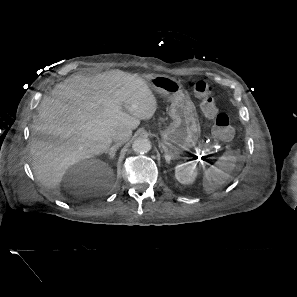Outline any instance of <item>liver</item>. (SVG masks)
I'll list each match as a JSON object with an SVG mask.
<instances>
[{
  "instance_id": "1",
  "label": "liver",
  "mask_w": 297,
  "mask_h": 297,
  "mask_svg": "<svg viewBox=\"0 0 297 297\" xmlns=\"http://www.w3.org/2000/svg\"><path fill=\"white\" fill-rule=\"evenodd\" d=\"M156 108L149 84L134 74L117 69L66 79L39 106L30 142L34 174L58 194L70 166L106 152L115 131L136 129Z\"/></svg>"
}]
</instances>
